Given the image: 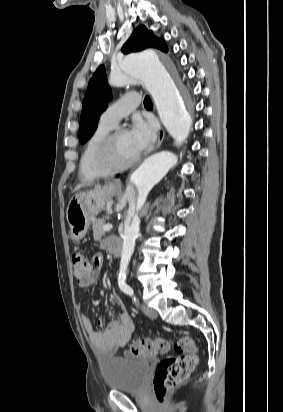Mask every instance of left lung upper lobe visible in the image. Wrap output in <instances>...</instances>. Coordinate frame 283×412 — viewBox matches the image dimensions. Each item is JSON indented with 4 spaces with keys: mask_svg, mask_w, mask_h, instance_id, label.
Wrapping results in <instances>:
<instances>
[{
    "mask_svg": "<svg viewBox=\"0 0 283 412\" xmlns=\"http://www.w3.org/2000/svg\"><path fill=\"white\" fill-rule=\"evenodd\" d=\"M157 48L167 52V46L153 32L148 31L143 25L138 26L127 42L122 47V52H138L146 48ZM111 99V91L106 81L105 70L100 66L89 82L86 97L83 101V108L80 119L79 140L85 143L95 132L97 126L95 121L103 112Z\"/></svg>",
    "mask_w": 283,
    "mask_h": 412,
    "instance_id": "5c2ea615",
    "label": "left lung upper lobe"
}]
</instances>
